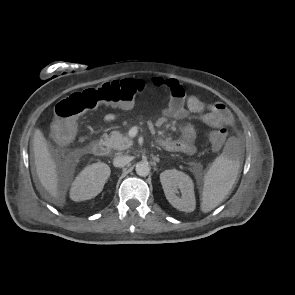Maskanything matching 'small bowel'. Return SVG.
<instances>
[{
	"label": "small bowel",
	"mask_w": 295,
	"mask_h": 295,
	"mask_svg": "<svg viewBox=\"0 0 295 295\" xmlns=\"http://www.w3.org/2000/svg\"><path fill=\"white\" fill-rule=\"evenodd\" d=\"M152 84L156 87L166 86L170 91L169 105L162 112V119L182 120L191 113L201 114L202 121L210 127L218 128L230 126L234 119L230 110L220 102L207 104L195 95L186 96L184 88L175 79L165 80L161 77H154ZM133 105L121 108L130 110ZM116 113H108L104 119L111 122L117 119ZM195 129L187 125L182 131L179 139L162 138L158 143L167 151L181 152L192 155L196 152Z\"/></svg>",
	"instance_id": "obj_1"
}]
</instances>
